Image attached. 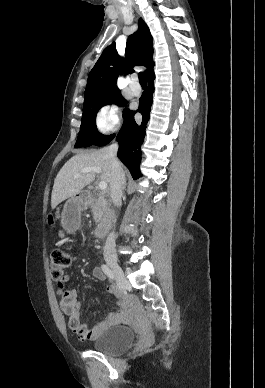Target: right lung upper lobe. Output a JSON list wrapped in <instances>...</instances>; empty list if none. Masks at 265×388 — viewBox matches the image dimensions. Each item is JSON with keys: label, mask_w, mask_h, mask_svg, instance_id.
<instances>
[{"label": "right lung upper lobe", "mask_w": 265, "mask_h": 388, "mask_svg": "<svg viewBox=\"0 0 265 388\" xmlns=\"http://www.w3.org/2000/svg\"><path fill=\"white\" fill-rule=\"evenodd\" d=\"M153 38L146 23L140 18L138 30L128 37L124 62L118 55L115 42L109 45L101 54L91 70L85 99L108 90L118 89L116 81L121 71L134 72V66H145L147 77L154 74L153 67Z\"/></svg>", "instance_id": "right-lung-upper-lobe-1"}]
</instances>
